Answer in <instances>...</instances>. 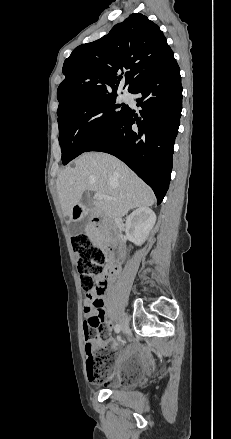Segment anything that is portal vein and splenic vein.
<instances>
[{
    "label": "portal vein and splenic vein",
    "instance_id": "1",
    "mask_svg": "<svg viewBox=\"0 0 231 439\" xmlns=\"http://www.w3.org/2000/svg\"><path fill=\"white\" fill-rule=\"evenodd\" d=\"M94 198L96 200H98V201H101V200H103L105 198V196L103 194H101V193H96Z\"/></svg>",
    "mask_w": 231,
    "mask_h": 439
}]
</instances>
